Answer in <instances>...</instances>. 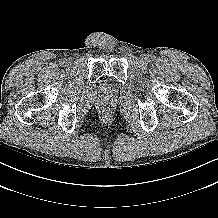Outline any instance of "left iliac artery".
Instances as JSON below:
<instances>
[{
	"label": "left iliac artery",
	"mask_w": 218,
	"mask_h": 218,
	"mask_svg": "<svg viewBox=\"0 0 218 218\" xmlns=\"http://www.w3.org/2000/svg\"><path fill=\"white\" fill-rule=\"evenodd\" d=\"M154 60V56L150 55V61Z\"/></svg>",
	"instance_id": "left-iliac-artery-1"
}]
</instances>
